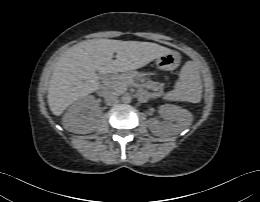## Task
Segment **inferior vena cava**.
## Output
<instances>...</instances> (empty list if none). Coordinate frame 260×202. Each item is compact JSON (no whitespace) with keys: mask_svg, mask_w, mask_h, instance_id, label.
<instances>
[{"mask_svg":"<svg viewBox=\"0 0 260 202\" xmlns=\"http://www.w3.org/2000/svg\"><path fill=\"white\" fill-rule=\"evenodd\" d=\"M104 100L109 105L115 104L118 102V94L115 92H109V93L105 94Z\"/></svg>","mask_w":260,"mask_h":202,"instance_id":"1","label":"inferior vena cava"}]
</instances>
